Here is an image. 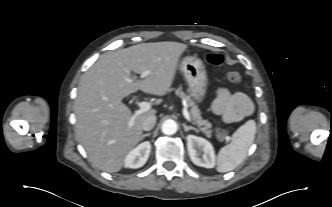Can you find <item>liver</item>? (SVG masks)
I'll use <instances>...</instances> for the list:
<instances>
[{
  "label": "liver",
  "instance_id": "obj_1",
  "mask_svg": "<svg viewBox=\"0 0 332 207\" xmlns=\"http://www.w3.org/2000/svg\"><path fill=\"white\" fill-rule=\"evenodd\" d=\"M186 49L178 42L142 43L101 55L82 75L74 106L76 133L97 168L120 171L126 155L141 141L143 121L156 113L152 109L137 115L129 128L134 114L121 100L137 90L165 95ZM132 71L150 74L139 80Z\"/></svg>",
  "mask_w": 332,
  "mask_h": 207
}]
</instances>
